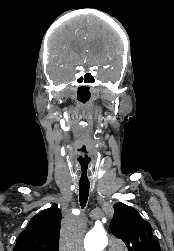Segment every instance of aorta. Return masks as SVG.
Masks as SVG:
<instances>
[{
    "label": "aorta",
    "instance_id": "762f6f07",
    "mask_svg": "<svg viewBox=\"0 0 174 251\" xmlns=\"http://www.w3.org/2000/svg\"><path fill=\"white\" fill-rule=\"evenodd\" d=\"M107 243V235L102 230H91L87 233L84 239V247L86 251H103Z\"/></svg>",
    "mask_w": 174,
    "mask_h": 251
}]
</instances>
